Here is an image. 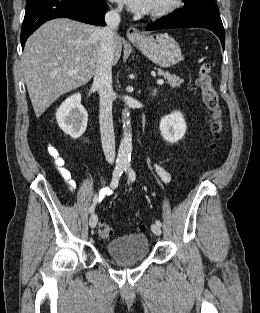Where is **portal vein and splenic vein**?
Listing matches in <instances>:
<instances>
[{
    "mask_svg": "<svg viewBox=\"0 0 260 313\" xmlns=\"http://www.w3.org/2000/svg\"><path fill=\"white\" fill-rule=\"evenodd\" d=\"M157 83H158L159 85H162V84H164V80H163V79H158V80H157Z\"/></svg>",
    "mask_w": 260,
    "mask_h": 313,
    "instance_id": "obj_1",
    "label": "portal vein and splenic vein"
}]
</instances>
